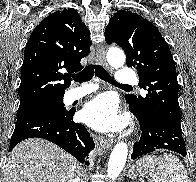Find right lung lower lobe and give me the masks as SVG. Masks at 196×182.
<instances>
[{
	"label": "right lung lower lobe",
	"instance_id": "1",
	"mask_svg": "<svg viewBox=\"0 0 196 182\" xmlns=\"http://www.w3.org/2000/svg\"><path fill=\"white\" fill-rule=\"evenodd\" d=\"M75 110L67 113L38 114L19 120L11 137L9 151L27 138H43L60 146L84 165H89L87 157L95 147L87 129L73 122Z\"/></svg>",
	"mask_w": 196,
	"mask_h": 182
}]
</instances>
